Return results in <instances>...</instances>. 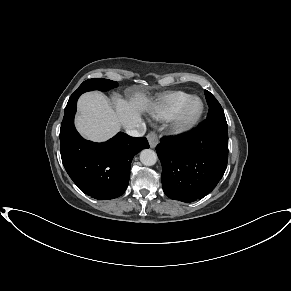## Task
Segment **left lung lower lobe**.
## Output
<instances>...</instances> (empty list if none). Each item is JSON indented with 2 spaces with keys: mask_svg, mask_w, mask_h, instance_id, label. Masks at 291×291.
<instances>
[{
  "mask_svg": "<svg viewBox=\"0 0 291 291\" xmlns=\"http://www.w3.org/2000/svg\"><path fill=\"white\" fill-rule=\"evenodd\" d=\"M157 145L162 186L171 199L193 202L218 184L227 167L228 126L225 117L207 118L191 132L163 137Z\"/></svg>",
  "mask_w": 291,
  "mask_h": 291,
  "instance_id": "0a47b994",
  "label": "left lung lower lobe"
}]
</instances>
